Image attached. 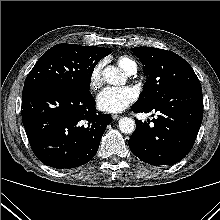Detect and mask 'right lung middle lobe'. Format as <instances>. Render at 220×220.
Segmentation results:
<instances>
[{"mask_svg": "<svg viewBox=\"0 0 220 220\" xmlns=\"http://www.w3.org/2000/svg\"><path fill=\"white\" fill-rule=\"evenodd\" d=\"M104 57L97 47L57 44L36 62L24 86L44 83L89 91L92 72Z\"/></svg>", "mask_w": 220, "mask_h": 220, "instance_id": "obj_1", "label": "right lung middle lobe"}]
</instances>
